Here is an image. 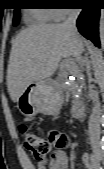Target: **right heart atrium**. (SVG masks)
Instances as JSON below:
<instances>
[{
    "label": "right heart atrium",
    "instance_id": "obj_1",
    "mask_svg": "<svg viewBox=\"0 0 104 169\" xmlns=\"http://www.w3.org/2000/svg\"><path fill=\"white\" fill-rule=\"evenodd\" d=\"M55 12V20L61 21L67 19L70 15L73 14L74 10L69 8H59V9H53Z\"/></svg>",
    "mask_w": 104,
    "mask_h": 169
}]
</instances>
